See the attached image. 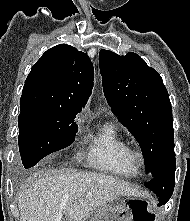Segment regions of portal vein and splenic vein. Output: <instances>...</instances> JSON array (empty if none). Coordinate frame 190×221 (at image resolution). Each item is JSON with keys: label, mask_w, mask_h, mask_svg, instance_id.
I'll return each instance as SVG.
<instances>
[{"label": "portal vein and splenic vein", "mask_w": 190, "mask_h": 221, "mask_svg": "<svg viewBox=\"0 0 190 221\" xmlns=\"http://www.w3.org/2000/svg\"><path fill=\"white\" fill-rule=\"evenodd\" d=\"M93 194H92V192H88L86 195H85V197L86 198H89V197H91Z\"/></svg>", "instance_id": "18ae733b"}]
</instances>
